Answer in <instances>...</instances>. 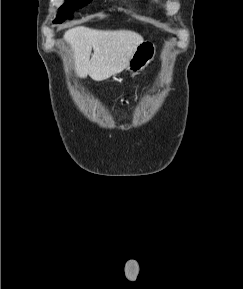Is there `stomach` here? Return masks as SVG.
Returning a JSON list of instances; mask_svg holds the SVG:
<instances>
[{
	"mask_svg": "<svg viewBox=\"0 0 243 289\" xmlns=\"http://www.w3.org/2000/svg\"><path fill=\"white\" fill-rule=\"evenodd\" d=\"M156 47L150 41H143L134 51L126 69L132 73L142 71L155 57Z\"/></svg>",
	"mask_w": 243,
	"mask_h": 289,
	"instance_id": "1",
	"label": "stomach"
}]
</instances>
